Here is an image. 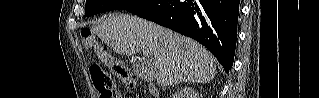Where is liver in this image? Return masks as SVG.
I'll return each mask as SVG.
<instances>
[{"label": "liver", "instance_id": "6515ba94", "mask_svg": "<svg viewBox=\"0 0 319 98\" xmlns=\"http://www.w3.org/2000/svg\"><path fill=\"white\" fill-rule=\"evenodd\" d=\"M91 29L117 54L148 51L152 77L161 86L207 83L216 74L213 56L198 42L137 16L110 14Z\"/></svg>", "mask_w": 319, "mask_h": 98}]
</instances>
